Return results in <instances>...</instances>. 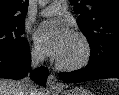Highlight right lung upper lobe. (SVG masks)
Segmentation results:
<instances>
[{
    "mask_svg": "<svg viewBox=\"0 0 119 95\" xmlns=\"http://www.w3.org/2000/svg\"><path fill=\"white\" fill-rule=\"evenodd\" d=\"M29 0H0V25L24 21Z\"/></svg>",
    "mask_w": 119,
    "mask_h": 95,
    "instance_id": "cb5924a9",
    "label": "right lung upper lobe"
}]
</instances>
